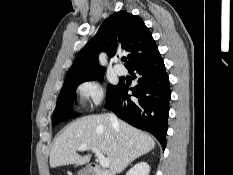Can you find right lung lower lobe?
<instances>
[{"instance_id": "98d812e1", "label": "right lung lower lobe", "mask_w": 233, "mask_h": 175, "mask_svg": "<svg viewBox=\"0 0 233 175\" xmlns=\"http://www.w3.org/2000/svg\"><path fill=\"white\" fill-rule=\"evenodd\" d=\"M128 70L138 73V77L134 76L138 84L130 89L135 98L131 99L127 94L128 86L120 83L105 108L132 126L153 134L165 149L171 91L159 51L135 63Z\"/></svg>"}]
</instances>
